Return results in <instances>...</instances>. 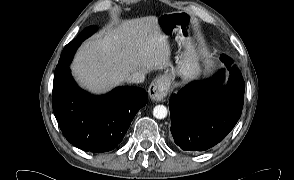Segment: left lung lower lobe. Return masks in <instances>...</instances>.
<instances>
[{"label":"left lung lower lobe","instance_id":"obj_1","mask_svg":"<svg viewBox=\"0 0 294 180\" xmlns=\"http://www.w3.org/2000/svg\"><path fill=\"white\" fill-rule=\"evenodd\" d=\"M221 60H232L221 55ZM224 73L204 82H193L174 94L169 102L171 133L174 142L186 151H204L233 129L241 116L245 83L238 70L230 72L223 85Z\"/></svg>","mask_w":294,"mask_h":180}]
</instances>
